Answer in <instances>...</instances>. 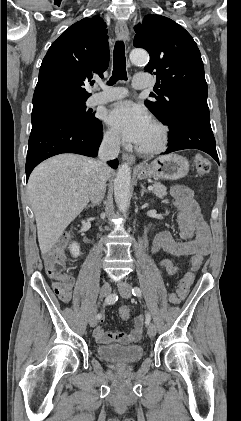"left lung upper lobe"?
Returning a JSON list of instances; mask_svg holds the SVG:
<instances>
[{
  "label": "left lung upper lobe",
  "instance_id": "left-lung-upper-lobe-1",
  "mask_svg": "<svg viewBox=\"0 0 241 421\" xmlns=\"http://www.w3.org/2000/svg\"><path fill=\"white\" fill-rule=\"evenodd\" d=\"M134 46L150 54L145 71L156 74L160 90L145 101L148 109L177 132L181 121L196 109H208V88L200 51L192 36L173 20L148 15L134 27Z\"/></svg>",
  "mask_w": 241,
  "mask_h": 421
}]
</instances>
